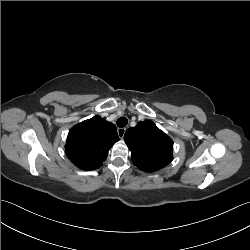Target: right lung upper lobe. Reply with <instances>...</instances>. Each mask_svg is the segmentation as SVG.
<instances>
[{
    "instance_id": "1",
    "label": "right lung upper lobe",
    "mask_w": 250,
    "mask_h": 250,
    "mask_svg": "<svg viewBox=\"0 0 250 250\" xmlns=\"http://www.w3.org/2000/svg\"><path fill=\"white\" fill-rule=\"evenodd\" d=\"M119 140L111 122L94 116L69 131L65 146L73 164L83 170H95L106 160L109 149Z\"/></svg>"
}]
</instances>
